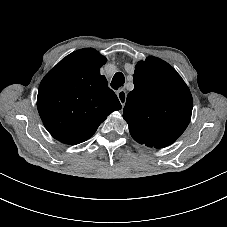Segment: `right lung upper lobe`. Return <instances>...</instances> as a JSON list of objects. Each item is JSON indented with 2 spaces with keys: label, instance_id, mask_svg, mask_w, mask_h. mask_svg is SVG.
<instances>
[{
  "label": "right lung upper lobe",
  "instance_id": "cb5924a9",
  "mask_svg": "<svg viewBox=\"0 0 227 227\" xmlns=\"http://www.w3.org/2000/svg\"><path fill=\"white\" fill-rule=\"evenodd\" d=\"M106 58L93 48L77 50L62 59L42 80L37 108L44 126L57 140L78 144L121 104L100 75Z\"/></svg>",
  "mask_w": 227,
  "mask_h": 227
}]
</instances>
